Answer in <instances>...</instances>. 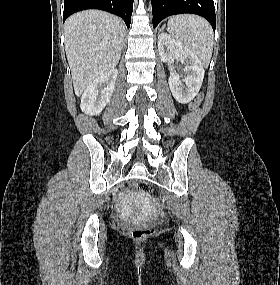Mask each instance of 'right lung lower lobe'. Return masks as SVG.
I'll use <instances>...</instances> for the list:
<instances>
[{
    "instance_id": "obj_1",
    "label": "right lung lower lobe",
    "mask_w": 280,
    "mask_h": 285,
    "mask_svg": "<svg viewBox=\"0 0 280 285\" xmlns=\"http://www.w3.org/2000/svg\"><path fill=\"white\" fill-rule=\"evenodd\" d=\"M85 9H100L120 16L129 28L133 0H64L63 22L71 14Z\"/></svg>"
}]
</instances>
